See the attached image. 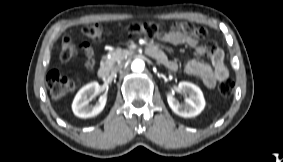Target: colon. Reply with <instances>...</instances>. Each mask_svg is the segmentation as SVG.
I'll use <instances>...</instances> for the list:
<instances>
[{
  "label": "colon",
  "instance_id": "1",
  "mask_svg": "<svg viewBox=\"0 0 283 162\" xmlns=\"http://www.w3.org/2000/svg\"><path fill=\"white\" fill-rule=\"evenodd\" d=\"M103 28L99 23L88 24L83 27L82 32L91 41H98L102 36ZM132 35H143L148 38L159 36L163 33V26L156 22L134 23L129 26ZM76 55L75 47L69 37H64L60 51V60L67 63ZM47 84L53 98H61L75 88V80L58 70H52L47 75ZM234 82L225 79L218 85V91L222 97H230L234 90Z\"/></svg>",
  "mask_w": 283,
  "mask_h": 162
}]
</instances>
